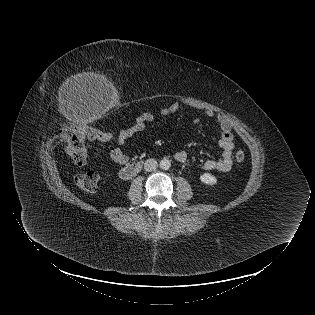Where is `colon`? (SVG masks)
Returning <instances> with one entry per match:
<instances>
[{
  "label": "colon",
  "mask_w": 315,
  "mask_h": 315,
  "mask_svg": "<svg viewBox=\"0 0 315 315\" xmlns=\"http://www.w3.org/2000/svg\"><path fill=\"white\" fill-rule=\"evenodd\" d=\"M110 135L93 127H75L67 132V152L72 161L82 166L86 164L88 153L86 147L87 140L109 141ZM235 160L242 163L245 160V153L238 150L235 153ZM99 177L94 171L80 174L76 177L77 186L88 194L97 191Z\"/></svg>",
  "instance_id": "1"
}]
</instances>
